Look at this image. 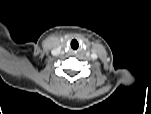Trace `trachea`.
<instances>
[{"label": "trachea", "instance_id": "3493384b", "mask_svg": "<svg viewBox=\"0 0 151 114\" xmlns=\"http://www.w3.org/2000/svg\"><path fill=\"white\" fill-rule=\"evenodd\" d=\"M71 47H72L73 49H77L78 46H75V47H74V46H73V41H72V42H71Z\"/></svg>", "mask_w": 151, "mask_h": 114}]
</instances>
